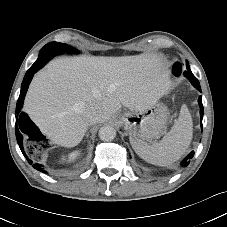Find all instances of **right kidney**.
<instances>
[{
    "mask_svg": "<svg viewBox=\"0 0 227 227\" xmlns=\"http://www.w3.org/2000/svg\"><path fill=\"white\" fill-rule=\"evenodd\" d=\"M77 155H78V152H73V153H71V154L69 155V160L71 161V160L75 159V158L77 157Z\"/></svg>",
    "mask_w": 227,
    "mask_h": 227,
    "instance_id": "ca27d5eb",
    "label": "right kidney"
}]
</instances>
